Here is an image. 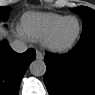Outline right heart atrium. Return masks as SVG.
<instances>
[{"mask_svg": "<svg viewBox=\"0 0 95 95\" xmlns=\"http://www.w3.org/2000/svg\"><path fill=\"white\" fill-rule=\"evenodd\" d=\"M17 32L20 36L25 37V34L23 33L21 29H18Z\"/></svg>", "mask_w": 95, "mask_h": 95, "instance_id": "right-heart-atrium-1", "label": "right heart atrium"}]
</instances>
